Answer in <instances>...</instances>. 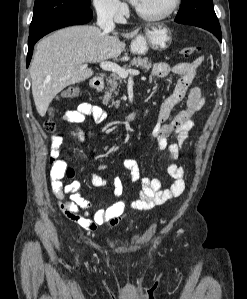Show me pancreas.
I'll list each match as a JSON object with an SVG mask.
<instances>
[{
    "instance_id": "1",
    "label": "pancreas",
    "mask_w": 247,
    "mask_h": 299,
    "mask_svg": "<svg viewBox=\"0 0 247 299\" xmlns=\"http://www.w3.org/2000/svg\"><path fill=\"white\" fill-rule=\"evenodd\" d=\"M134 66L140 67L141 69H144V71L146 72L151 68L152 62L149 61L148 58L137 57V58H133L129 65H125L124 69H130L131 67ZM106 81H107L108 88L106 89L105 95L103 97L104 104H107L111 100L113 94L116 95L118 94L119 88L122 85V78L116 73L111 74ZM114 103L116 107L119 108L120 101L117 100Z\"/></svg>"
}]
</instances>
